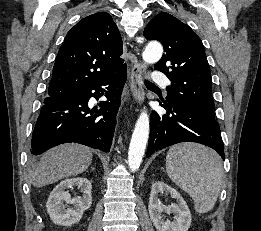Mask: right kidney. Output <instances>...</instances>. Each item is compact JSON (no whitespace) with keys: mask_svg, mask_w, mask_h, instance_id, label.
<instances>
[{"mask_svg":"<svg viewBox=\"0 0 261 231\" xmlns=\"http://www.w3.org/2000/svg\"><path fill=\"white\" fill-rule=\"evenodd\" d=\"M72 187L80 189L82 197L71 198L66 189ZM91 189V182L87 178L76 177L61 181L52 190L46 203L51 220L61 226H71L79 222L84 211L92 204Z\"/></svg>","mask_w":261,"mask_h":231,"instance_id":"right-kidney-1","label":"right kidney"}]
</instances>
